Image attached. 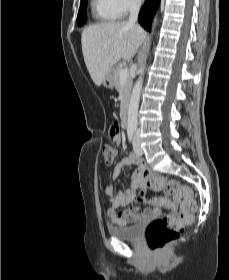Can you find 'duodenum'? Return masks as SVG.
Segmentation results:
<instances>
[{
  "instance_id": "obj_1",
  "label": "duodenum",
  "mask_w": 229,
  "mask_h": 280,
  "mask_svg": "<svg viewBox=\"0 0 229 280\" xmlns=\"http://www.w3.org/2000/svg\"><path fill=\"white\" fill-rule=\"evenodd\" d=\"M121 124L123 127H126L128 124V105H127V103L125 104L124 108L122 109Z\"/></svg>"
}]
</instances>
